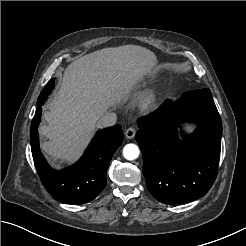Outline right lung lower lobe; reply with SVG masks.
<instances>
[{
  "label": "right lung lower lobe",
  "mask_w": 246,
  "mask_h": 246,
  "mask_svg": "<svg viewBox=\"0 0 246 246\" xmlns=\"http://www.w3.org/2000/svg\"><path fill=\"white\" fill-rule=\"evenodd\" d=\"M42 105L31 123V151L42 184L50 195L65 204H84L95 199L107 184L106 171L114 152L123 142L119 124L97 132L82 158L62 171L53 170L39 148L38 126Z\"/></svg>",
  "instance_id": "obj_1"
}]
</instances>
